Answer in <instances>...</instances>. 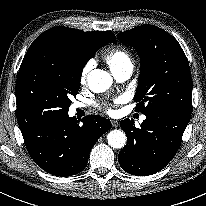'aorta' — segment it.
Returning a JSON list of instances; mask_svg holds the SVG:
<instances>
[{
  "instance_id": "762f6f07",
  "label": "aorta",
  "mask_w": 206,
  "mask_h": 206,
  "mask_svg": "<svg viewBox=\"0 0 206 206\" xmlns=\"http://www.w3.org/2000/svg\"><path fill=\"white\" fill-rule=\"evenodd\" d=\"M113 83L109 73L101 69H94L88 74V86L94 93H101L108 90ZM108 144L116 149L123 148L127 138L123 131L112 130L107 135Z\"/></svg>"
}]
</instances>
